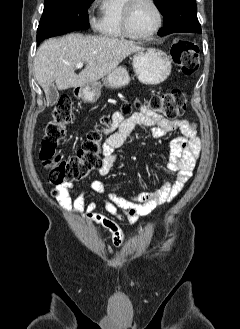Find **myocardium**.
I'll list each match as a JSON object with an SVG mask.
<instances>
[{
	"instance_id": "1",
	"label": "myocardium",
	"mask_w": 240,
	"mask_h": 329,
	"mask_svg": "<svg viewBox=\"0 0 240 329\" xmlns=\"http://www.w3.org/2000/svg\"><path fill=\"white\" fill-rule=\"evenodd\" d=\"M139 1L140 0H126V3L122 11V30L123 33L128 38L136 39V40H148L153 38L160 31L164 22V15L160 6L157 4L155 0H146L148 3L152 5V7L155 9L157 13V19H158L157 24L155 28L148 34L140 35L134 33L130 28V19H131L132 10L136 5V3H138Z\"/></svg>"
}]
</instances>
